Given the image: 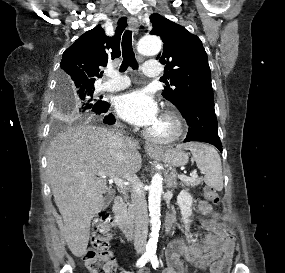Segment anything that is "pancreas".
Listing matches in <instances>:
<instances>
[{"label":"pancreas","mask_w":285,"mask_h":273,"mask_svg":"<svg viewBox=\"0 0 285 273\" xmlns=\"http://www.w3.org/2000/svg\"><path fill=\"white\" fill-rule=\"evenodd\" d=\"M203 180L202 178H196L192 180H182L181 185L182 186H190V187H196L200 184H202Z\"/></svg>","instance_id":"pancreas-1"}]
</instances>
